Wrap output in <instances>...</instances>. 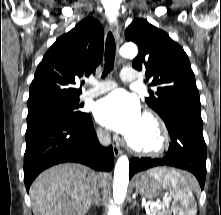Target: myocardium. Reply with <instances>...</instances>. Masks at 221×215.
<instances>
[{
  "label": "myocardium",
  "mask_w": 221,
  "mask_h": 215,
  "mask_svg": "<svg viewBox=\"0 0 221 215\" xmlns=\"http://www.w3.org/2000/svg\"><path fill=\"white\" fill-rule=\"evenodd\" d=\"M143 120L149 123L155 130L156 139L151 146H139L135 144L130 138L125 140L128 148L137 155L142 156H157L163 153L169 145V132L164 121L153 112H146Z\"/></svg>",
  "instance_id": "obj_1"
}]
</instances>
